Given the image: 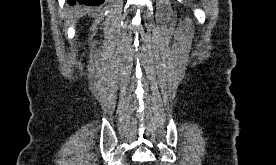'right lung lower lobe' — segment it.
Returning a JSON list of instances; mask_svg holds the SVG:
<instances>
[{
	"label": "right lung lower lobe",
	"mask_w": 276,
	"mask_h": 165,
	"mask_svg": "<svg viewBox=\"0 0 276 165\" xmlns=\"http://www.w3.org/2000/svg\"><path fill=\"white\" fill-rule=\"evenodd\" d=\"M104 0H68V3L70 5H75V4H85L89 6H95V5H100L103 3Z\"/></svg>",
	"instance_id": "right-lung-lower-lobe-1"
}]
</instances>
